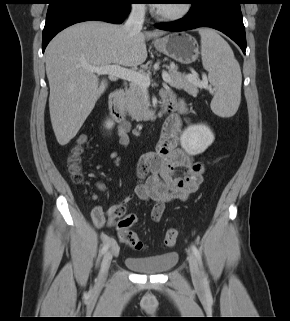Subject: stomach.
Segmentation results:
<instances>
[{
	"label": "stomach",
	"mask_w": 290,
	"mask_h": 321,
	"mask_svg": "<svg viewBox=\"0 0 290 321\" xmlns=\"http://www.w3.org/2000/svg\"><path fill=\"white\" fill-rule=\"evenodd\" d=\"M155 48L181 64H191L199 56L198 43L185 32H175L154 41Z\"/></svg>",
	"instance_id": "1"
}]
</instances>
